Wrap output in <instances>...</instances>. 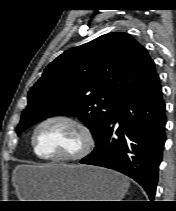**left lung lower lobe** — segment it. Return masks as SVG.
<instances>
[{"mask_svg":"<svg viewBox=\"0 0 176 211\" xmlns=\"http://www.w3.org/2000/svg\"><path fill=\"white\" fill-rule=\"evenodd\" d=\"M119 122L120 127L114 128ZM165 104L157 82L119 104L94 151L80 163L117 170L136 180L152 200L165 143Z\"/></svg>","mask_w":176,"mask_h":211,"instance_id":"0a47b994","label":"left lung lower lobe"}]
</instances>
